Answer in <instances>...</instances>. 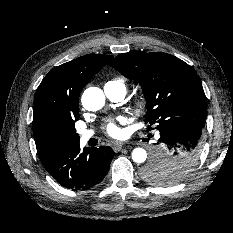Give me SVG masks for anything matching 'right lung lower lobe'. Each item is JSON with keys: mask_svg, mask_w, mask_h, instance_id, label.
I'll return each mask as SVG.
<instances>
[{"mask_svg": "<svg viewBox=\"0 0 233 233\" xmlns=\"http://www.w3.org/2000/svg\"><path fill=\"white\" fill-rule=\"evenodd\" d=\"M115 152L109 146L80 151L77 144L61 151L40 155L44 168L68 189L83 190L99 183L107 174Z\"/></svg>", "mask_w": 233, "mask_h": 233, "instance_id": "obj_1", "label": "right lung lower lobe"}]
</instances>
